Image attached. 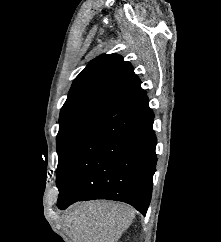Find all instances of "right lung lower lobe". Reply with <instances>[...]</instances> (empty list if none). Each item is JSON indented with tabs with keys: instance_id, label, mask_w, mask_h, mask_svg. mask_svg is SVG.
<instances>
[{
	"instance_id": "1",
	"label": "right lung lower lobe",
	"mask_w": 221,
	"mask_h": 242,
	"mask_svg": "<svg viewBox=\"0 0 221 242\" xmlns=\"http://www.w3.org/2000/svg\"><path fill=\"white\" fill-rule=\"evenodd\" d=\"M148 102L145 94L83 141L57 183L59 209L77 201L110 199L146 214L157 162Z\"/></svg>"
}]
</instances>
